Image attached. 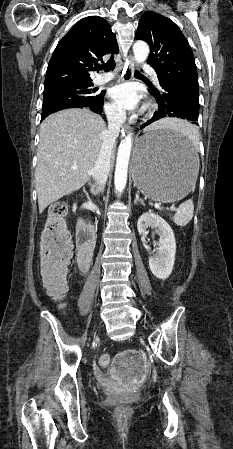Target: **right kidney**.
Returning <instances> with one entry per match:
<instances>
[{
	"instance_id": "right-kidney-1",
	"label": "right kidney",
	"mask_w": 233,
	"mask_h": 449,
	"mask_svg": "<svg viewBox=\"0 0 233 449\" xmlns=\"http://www.w3.org/2000/svg\"><path fill=\"white\" fill-rule=\"evenodd\" d=\"M76 208H77V206H76V204H74V205H73V212L76 211Z\"/></svg>"
}]
</instances>
